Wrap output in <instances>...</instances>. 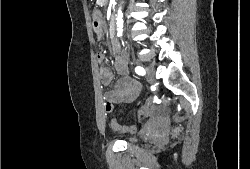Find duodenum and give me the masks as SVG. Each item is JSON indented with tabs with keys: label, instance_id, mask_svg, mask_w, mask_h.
<instances>
[{
	"label": "duodenum",
	"instance_id": "410a0bca",
	"mask_svg": "<svg viewBox=\"0 0 250 169\" xmlns=\"http://www.w3.org/2000/svg\"><path fill=\"white\" fill-rule=\"evenodd\" d=\"M110 39L112 40L113 43H116V31H115V27H112V26L110 30Z\"/></svg>",
	"mask_w": 250,
	"mask_h": 169
}]
</instances>
